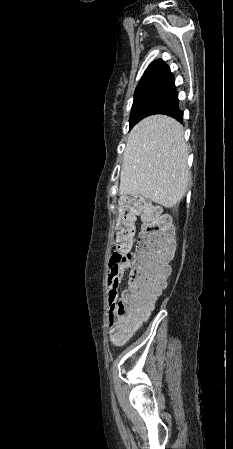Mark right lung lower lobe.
I'll list each match as a JSON object with an SVG mask.
<instances>
[{"instance_id": "obj_1", "label": "right lung lower lobe", "mask_w": 233, "mask_h": 449, "mask_svg": "<svg viewBox=\"0 0 233 449\" xmlns=\"http://www.w3.org/2000/svg\"><path fill=\"white\" fill-rule=\"evenodd\" d=\"M157 114H165V115L171 116L172 118H174L182 123L183 112L179 109V102L177 104H174L171 107H168V108L160 111Z\"/></svg>"}]
</instances>
